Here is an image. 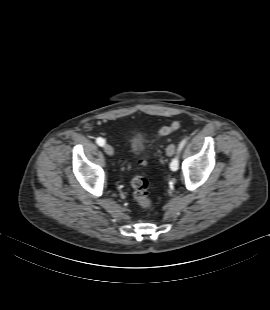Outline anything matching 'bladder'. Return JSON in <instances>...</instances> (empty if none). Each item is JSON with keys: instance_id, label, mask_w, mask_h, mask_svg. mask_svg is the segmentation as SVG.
Returning a JSON list of instances; mask_svg holds the SVG:
<instances>
[{"instance_id": "obj_1", "label": "bladder", "mask_w": 270, "mask_h": 310, "mask_svg": "<svg viewBox=\"0 0 270 310\" xmlns=\"http://www.w3.org/2000/svg\"><path fill=\"white\" fill-rule=\"evenodd\" d=\"M144 146V139L140 134H136L131 138L130 149L133 153H138Z\"/></svg>"}]
</instances>
